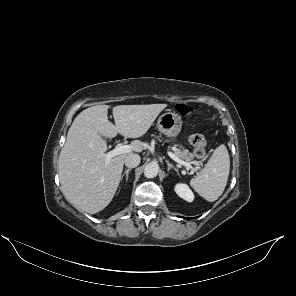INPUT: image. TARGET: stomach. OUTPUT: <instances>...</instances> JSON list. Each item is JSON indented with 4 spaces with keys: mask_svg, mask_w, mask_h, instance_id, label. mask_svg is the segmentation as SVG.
<instances>
[{
    "mask_svg": "<svg viewBox=\"0 0 296 296\" xmlns=\"http://www.w3.org/2000/svg\"><path fill=\"white\" fill-rule=\"evenodd\" d=\"M157 127L160 132L172 138L171 141H173L181 131V116L175 112L168 111L158 118Z\"/></svg>",
    "mask_w": 296,
    "mask_h": 296,
    "instance_id": "stomach-1",
    "label": "stomach"
}]
</instances>
